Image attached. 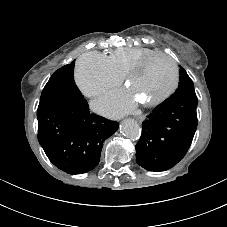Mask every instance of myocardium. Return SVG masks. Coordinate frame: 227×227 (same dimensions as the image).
I'll return each instance as SVG.
<instances>
[{
  "label": "myocardium",
  "mask_w": 227,
  "mask_h": 227,
  "mask_svg": "<svg viewBox=\"0 0 227 227\" xmlns=\"http://www.w3.org/2000/svg\"><path fill=\"white\" fill-rule=\"evenodd\" d=\"M156 57H165L171 62L172 67H173V81H172L170 87L164 93L160 94L159 96H157L153 99L143 101L142 103L145 106H154V105L160 104L161 102L165 101L167 98H169L174 93V91L177 89L178 84H179L180 74H179V67H178L176 60L171 55H169L165 52H161V51H156L154 53L146 55L145 57L140 59L136 64L131 66L124 76L125 82L130 84V82L133 79V77L135 76V74H137L139 71H141L152 59H154Z\"/></svg>",
  "instance_id": "f54148a6"
}]
</instances>
